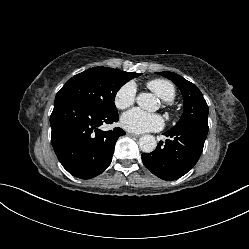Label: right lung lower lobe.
<instances>
[{"instance_id": "obj_1", "label": "right lung lower lobe", "mask_w": 249, "mask_h": 249, "mask_svg": "<svg viewBox=\"0 0 249 249\" xmlns=\"http://www.w3.org/2000/svg\"><path fill=\"white\" fill-rule=\"evenodd\" d=\"M118 113L93 111L75 99L56 97L50 117L51 140L63 167L81 179L101 174L111 163L117 139L125 134L121 128L99 129L103 123L112 124Z\"/></svg>"}]
</instances>
